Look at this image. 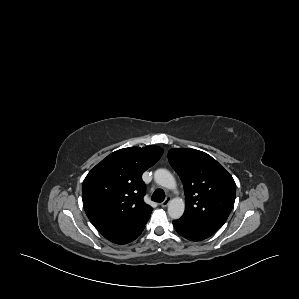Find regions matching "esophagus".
Here are the masks:
<instances>
[{"mask_svg": "<svg viewBox=\"0 0 299 299\" xmlns=\"http://www.w3.org/2000/svg\"><path fill=\"white\" fill-rule=\"evenodd\" d=\"M170 200H171V198L168 196L160 205L165 208L170 203Z\"/></svg>", "mask_w": 299, "mask_h": 299, "instance_id": "obj_1", "label": "esophagus"}]
</instances>
